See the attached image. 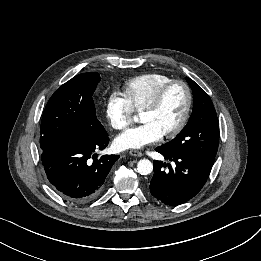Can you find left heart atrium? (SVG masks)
Returning <instances> with one entry per match:
<instances>
[{
	"instance_id": "39dd6f15",
	"label": "left heart atrium",
	"mask_w": 261,
	"mask_h": 261,
	"mask_svg": "<svg viewBox=\"0 0 261 261\" xmlns=\"http://www.w3.org/2000/svg\"><path fill=\"white\" fill-rule=\"evenodd\" d=\"M163 134L150 123L132 127L120 134L115 144L119 149H139L159 141Z\"/></svg>"
}]
</instances>
